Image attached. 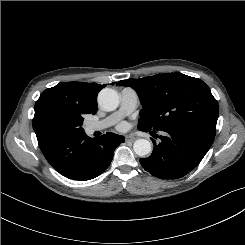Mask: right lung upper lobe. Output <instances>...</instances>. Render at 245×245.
<instances>
[{
  "instance_id": "right-lung-upper-lobe-1",
  "label": "right lung upper lobe",
  "mask_w": 245,
  "mask_h": 245,
  "mask_svg": "<svg viewBox=\"0 0 245 245\" xmlns=\"http://www.w3.org/2000/svg\"><path fill=\"white\" fill-rule=\"evenodd\" d=\"M105 86L106 85L85 82L59 83L52 88L44 90L37 100L35 107L45 99L58 98L84 114H95L97 112L96 98L98 92ZM32 124L39 147L44 156L48 157L53 146L60 139H57L42 130L36 123L35 117Z\"/></svg>"
}]
</instances>
